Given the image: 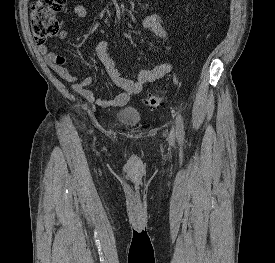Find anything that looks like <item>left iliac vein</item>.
Listing matches in <instances>:
<instances>
[{
	"mask_svg": "<svg viewBox=\"0 0 275 263\" xmlns=\"http://www.w3.org/2000/svg\"><path fill=\"white\" fill-rule=\"evenodd\" d=\"M175 137H176L175 129H172L171 132H170V136H169L170 141L174 142Z\"/></svg>",
	"mask_w": 275,
	"mask_h": 263,
	"instance_id": "left-iliac-vein-1",
	"label": "left iliac vein"
}]
</instances>
